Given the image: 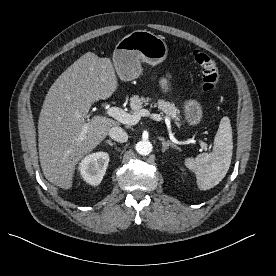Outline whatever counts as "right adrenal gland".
Here are the masks:
<instances>
[{
    "instance_id": "1",
    "label": "right adrenal gland",
    "mask_w": 276,
    "mask_h": 276,
    "mask_svg": "<svg viewBox=\"0 0 276 276\" xmlns=\"http://www.w3.org/2000/svg\"><path fill=\"white\" fill-rule=\"evenodd\" d=\"M106 143H107V144H109L110 146L115 145V143H113V142H112V141H110V140H107V141H106Z\"/></svg>"
}]
</instances>
